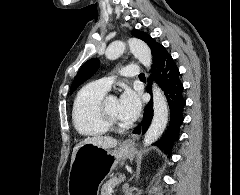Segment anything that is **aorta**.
Wrapping results in <instances>:
<instances>
[{"label": "aorta", "mask_w": 240, "mask_h": 195, "mask_svg": "<svg viewBox=\"0 0 240 195\" xmlns=\"http://www.w3.org/2000/svg\"><path fill=\"white\" fill-rule=\"evenodd\" d=\"M127 44L130 48L131 54L149 70L152 62L151 50L145 42L142 40H136V38H131L127 40ZM126 48L125 42H112L106 50V58L108 60H116L122 56ZM153 94V107L154 115L150 127H148L144 135V145H150L153 141H156L160 135H162L166 123L168 121V103L162 90L158 88L157 84L152 86Z\"/></svg>", "instance_id": "762f6f07"}]
</instances>
